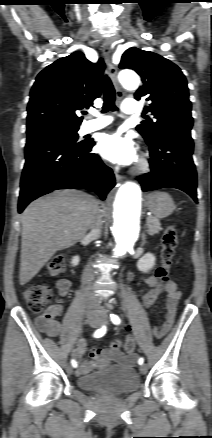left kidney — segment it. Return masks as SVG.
Returning <instances> with one entry per match:
<instances>
[{"label": "left kidney", "mask_w": 212, "mask_h": 438, "mask_svg": "<svg viewBox=\"0 0 212 438\" xmlns=\"http://www.w3.org/2000/svg\"><path fill=\"white\" fill-rule=\"evenodd\" d=\"M155 265V256L151 253L145 254L137 262V268L143 273H148Z\"/></svg>", "instance_id": "obj_1"}]
</instances>
